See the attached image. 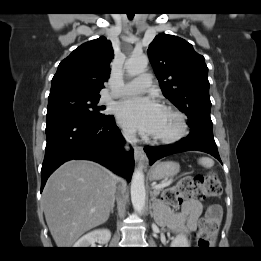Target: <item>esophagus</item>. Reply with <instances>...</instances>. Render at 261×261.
I'll return each instance as SVG.
<instances>
[{
  "label": "esophagus",
  "instance_id": "34e87169",
  "mask_svg": "<svg viewBox=\"0 0 261 261\" xmlns=\"http://www.w3.org/2000/svg\"><path fill=\"white\" fill-rule=\"evenodd\" d=\"M134 158L135 161L141 166L144 167L148 163V158L144 152L143 147L141 146H135L134 147Z\"/></svg>",
  "mask_w": 261,
  "mask_h": 261
}]
</instances>
